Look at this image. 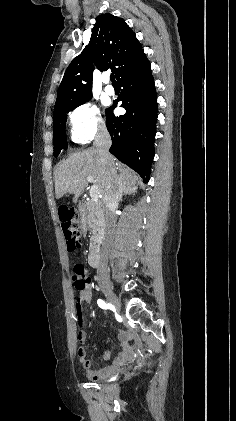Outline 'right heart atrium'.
Segmentation results:
<instances>
[{"mask_svg": "<svg viewBox=\"0 0 236 421\" xmlns=\"http://www.w3.org/2000/svg\"><path fill=\"white\" fill-rule=\"evenodd\" d=\"M69 119L72 138L78 144H88L95 137L106 132L102 112L93 102L77 107L70 114Z\"/></svg>", "mask_w": 236, "mask_h": 421, "instance_id": "obj_1", "label": "right heart atrium"}]
</instances>
